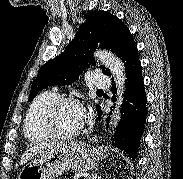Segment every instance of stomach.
<instances>
[{
	"label": "stomach",
	"instance_id": "obj_1",
	"mask_svg": "<svg viewBox=\"0 0 183 179\" xmlns=\"http://www.w3.org/2000/svg\"><path fill=\"white\" fill-rule=\"evenodd\" d=\"M107 155L103 147L94 148L83 143L54 142L26 164L18 179H55L66 171L86 172L97 167Z\"/></svg>",
	"mask_w": 183,
	"mask_h": 179
}]
</instances>
